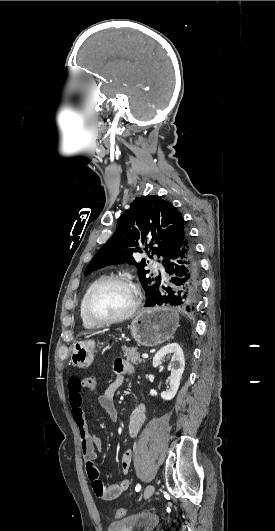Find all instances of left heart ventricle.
<instances>
[{
    "instance_id": "obj_1",
    "label": "left heart ventricle",
    "mask_w": 275,
    "mask_h": 531,
    "mask_svg": "<svg viewBox=\"0 0 275 531\" xmlns=\"http://www.w3.org/2000/svg\"><path fill=\"white\" fill-rule=\"evenodd\" d=\"M133 291L123 283H110L101 287L90 299L88 311L98 319H110L125 314L133 302Z\"/></svg>"
}]
</instances>
